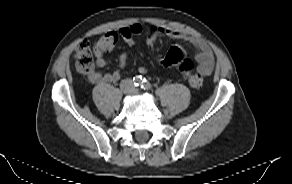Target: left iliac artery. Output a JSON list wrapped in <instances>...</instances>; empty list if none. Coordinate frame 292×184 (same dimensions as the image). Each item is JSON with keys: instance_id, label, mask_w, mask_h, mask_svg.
<instances>
[{"instance_id": "left-iliac-artery-1", "label": "left iliac artery", "mask_w": 292, "mask_h": 184, "mask_svg": "<svg viewBox=\"0 0 292 184\" xmlns=\"http://www.w3.org/2000/svg\"><path fill=\"white\" fill-rule=\"evenodd\" d=\"M141 88L144 90H150L152 88L151 84L144 78L141 83Z\"/></svg>"}]
</instances>
